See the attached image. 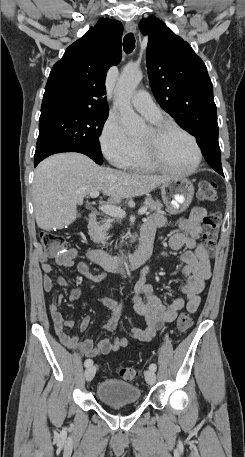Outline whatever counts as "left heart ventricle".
Wrapping results in <instances>:
<instances>
[{
  "label": "left heart ventricle",
  "mask_w": 245,
  "mask_h": 457,
  "mask_svg": "<svg viewBox=\"0 0 245 457\" xmlns=\"http://www.w3.org/2000/svg\"><path fill=\"white\" fill-rule=\"evenodd\" d=\"M148 155L161 164L175 169H188L195 161L191 141L179 131L168 132L157 140L151 127L138 139Z\"/></svg>",
  "instance_id": "obj_1"
}]
</instances>
